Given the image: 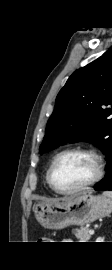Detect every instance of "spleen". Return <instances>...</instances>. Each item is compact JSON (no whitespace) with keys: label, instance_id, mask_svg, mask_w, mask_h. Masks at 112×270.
I'll list each match as a JSON object with an SVG mask.
<instances>
[{"label":"spleen","instance_id":"1","mask_svg":"<svg viewBox=\"0 0 112 270\" xmlns=\"http://www.w3.org/2000/svg\"><path fill=\"white\" fill-rule=\"evenodd\" d=\"M103 195L110 198V199H112V191H104Z\"/></svg>","mask_w":112,"mask_h":270}]
</instances>
